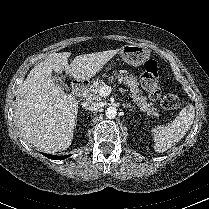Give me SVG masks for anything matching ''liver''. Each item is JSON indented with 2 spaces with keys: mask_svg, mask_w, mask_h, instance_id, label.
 <instances>
[{
  "mask_svg": "<svg viewBox=\"0 0 209 209\" xmlns=\"http://www.w3.org/2000/svg\"><path fill=\"white\" fill-rule=\"evenodd\" d=\"M117 50L79 55L68 64L71 53H53L36 65L16 94L15 124L23 139L43 152L66 150L72 143L78 101L55 84L52 71L78 81L95 76Z\"/></svg>",
  "mask_w": 209,
  "mask_h": 209,
  "instance_id": "1",
  "label": "liver"
}]
</instances>
